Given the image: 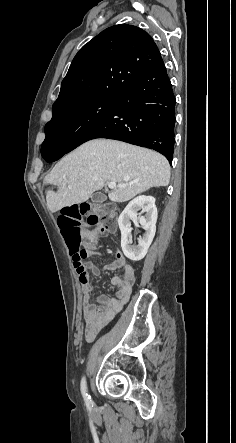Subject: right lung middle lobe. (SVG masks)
<instances>
[{
  "label": "right lung middle lobe",
  "instance_id": "right-lung-middle-lobe-1",
  "mask_svg": "<svg viewBox=\"0 0 236 443\" xmlns=\"http://www.w3.org/2000/svg\"><path fill=\"white\" fill-rule=\"evenodd\" d=\"M117 96L101 94L53 115L45 126L46 138L42 148L49 146L66 147L90 123L101 116Z\"/></svg>",
  "mask_w": 236,
  "mask_h": 443
}]
</instances>
